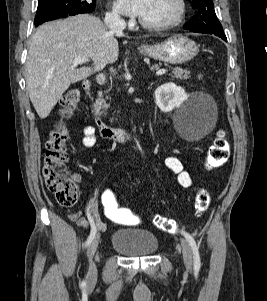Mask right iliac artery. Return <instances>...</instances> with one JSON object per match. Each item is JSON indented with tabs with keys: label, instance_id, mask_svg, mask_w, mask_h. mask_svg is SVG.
<instances>
[{
	"label": "right iliac artery",
	"instance_id": "right-iliac-artery-1",
	"mask_svg": "<svg viewBox=\"0 0 267 301\" xmlns=\"http://www.w3.org/2000/svg\"><path fill=\"white\" fill-rule=\"evenodd\" d=\"M89 221H90V224H91V232H90L89 237L87 238L85 246H89V244L91 243V241L95 237V234H96V231H97L96 225H95L93 219L89 218Z\"/></svg>",
	"mask_w": 267,
	"mask_h": 301
}]
</instances>
